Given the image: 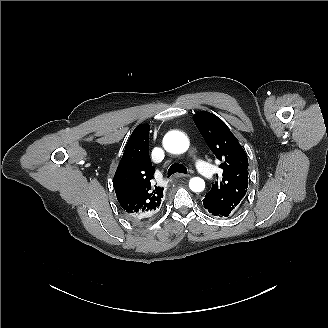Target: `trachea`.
I'll return each instance as SVG.
<instances>
[{
  "instance_id": "trachea-1",
  "label": "trachea",
  "mask_w": 328,
  "mask_h": 328,
  "mask_svg": "<svg viewBox=\"0 0 328 328\" xmlns=\"http://www.w3.org/2000/svg\"><path fill=\"white\" fill-rule=\"evenodd\" d=\"M177 172L183 173V174H187V169L182 164L174 163L168 169V173H167L168 174V177H170L171 175H173V174H175Z\"/></svg>"
}]
</instances>
